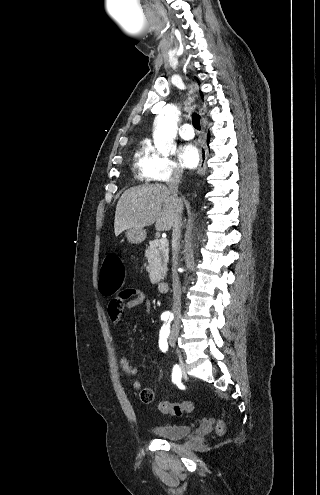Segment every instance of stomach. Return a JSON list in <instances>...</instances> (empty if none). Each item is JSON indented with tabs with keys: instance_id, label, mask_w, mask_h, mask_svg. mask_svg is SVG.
Instances as JSON below:
<instances>
[{
	"instance_id": "obj_1",
	"label": "stomach",
	"mask_w": 320,
	"mask_h": 495,
	"mask_svg": "<svg viewBox=\"0 0 320 495\" xmlns=\"http://www.w3.org/2000/svg\"><path fill=\"white\" fill-rule=\"evenodd\" d=\"M126 237L131 244H139L146 238V231L143 228H130L126 230Z\"/></svg>"
}]
</instances>
